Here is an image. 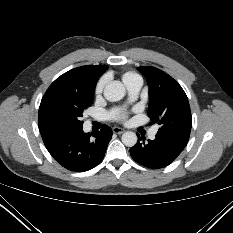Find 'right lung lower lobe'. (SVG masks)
<instances>
[{"label": "right lung lower lobe", "instance_id": "obj_1", "mask_svg": "<svg viewBox=\"0 0 233 233\" xmlns=\"http://www.w3.org/2000/svg\"><path fill=\"white\" fill-rule=\"evenodd\" d=\"M112 130L103 125L100 131L84 133L82 127L59 134L45 146L53 158L64 168L82 172L97 166L104 158Z\"/></svg>", "mask_w": 233, "mask_h": 233}]
</instances>
